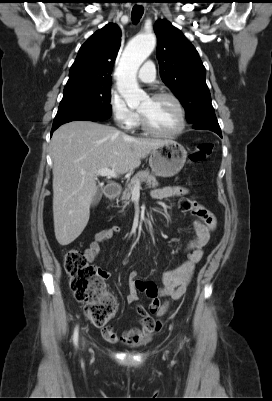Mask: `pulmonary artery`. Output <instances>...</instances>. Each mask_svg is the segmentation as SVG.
Listing matches in <instances>:
<instances>
[{"label":"pulmonary artery","instance_id":"1","mask_svg":"<svg viewBox=\"0 0 272 401\" xmlns=\"http://www.w3.org/2000/svg\"><path fill=\"white\" fill-rule=\"evenodd\" d=\"M138 79L141 82L145 83H150L153 82L155 79V67L153 62L147 61L144 63L142 66L139 74H138Z\"/></svg>","mask_w":272,"mask_h":401}]
</instances>
